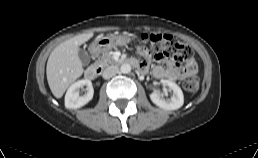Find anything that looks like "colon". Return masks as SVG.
Instances as JSON below:
<instances>
[{"label":"colon","instance_id":"colon-1","mask_svg":"<svg viewBox=\"0 0 258 158\" xmlns=\"http://www.w3.org/2000/svg\"><path fill=\"white\" fill-rule=\"evenodd\" d=\"M140 40L157 55H171L180 64H189L193 61L192 49L169 35L144 33ZM199 84V78L195 74H189L183 79V87L188 92H196Z\"/></svg>","mask_w":258,"mask_h":158}]
</instances>
